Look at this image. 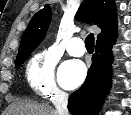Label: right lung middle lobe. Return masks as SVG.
Here are the masks:
<instances>
[{
	"mask_svg": "<svg viewBox=\"0 0 131 115\" xmlns=\"http://www.w3.org/2000/svg\"><path fill=\"white\" fill-rule=\"evenodd\" d=\"M33 50H34V49L27 50V51L24 52L22 55L17 56L15 66H16V67L21 66L22 63H24V61L30 56V54H31V52H32Z\"/></svg>",
	"mask_w": 131,
	"mask_h": 115,
	"instance_id": "obj_1",
	"label": "right lung middle lobe"
}]
</instances>
